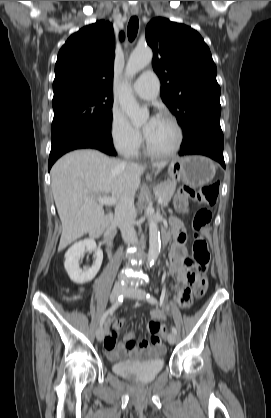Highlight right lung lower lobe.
I'll list each match as a JSON object with an SVG mask.
<instances>
[{"label":"right lung lower lobe","mask_w":271,"mask_h":418,"mask_svg":"<svg viewBox=\"0 0 271 418\" xmlns=\"http://www.w3.org/2000/svg\"><path fill=\"white\" fill-rule=\"evenodd\" d=\"M52 147L48 170L63 154L80 148H94L109 155H116L112 144L111 129L102 125H87L63 130L51 135Z\"/></svg>","instance_id":"1"}]
</instances>
